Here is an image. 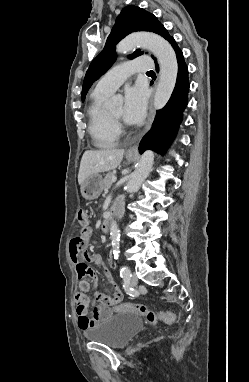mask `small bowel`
<instances>
[{
	"mask_svg": "<svg viewBox=\"0 0 249 382\" xmlns=\"http://www.w3.org/2000/svg\"><path fill=\"white\" fill-rule=\"evenodd\" d=\"M93 235V231L91 228H87L86 230L82 231L80 235L73 238L71 242H68L67 249L68 252H70L69 257L70 261L73 263V265H78V261H92L95 263L96 260H100L99 256L92 252H85L83 249L88 241L91 239ZM79 238H83V241H77ZM110 280H112L111 276H108ZM78 286L81 290V292L77 293L75 296V300L77 303V315H78V325L79 328L86 331L90 327L95 326L99 322L103 321L105 318H107L111 311L109 307L104 305H98L95 306L92 315H88V308L90 305H92L93 301L88 296V294L92 291V287L90 282H88L86 279H83L81 282H78ZM116 294H119L121 296L120 292H116Z\"/></svg>",
	"mask_w": 249,
	"mask_h": 382,
	"instance_id": "small-bowel-1",
	"label": "small bowel"
}]
</instances>
